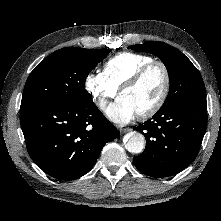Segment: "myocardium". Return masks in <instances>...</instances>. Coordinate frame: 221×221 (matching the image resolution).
Returning a JSON list of instances; mask_svg holds the SVG:
<instances>
[{
	"label": "myocardium",
	"mask_w": 221,
	"mask_h": 221,
	"mask_svg": "<svg viewBox=\"0 0 221 221\" xmlns=\"http://www.w3.org/2000/svg\"><path fill=\"white\" fill-rule=\"evenodd\" d=\"M154 66H159L164 73V86L162 93L158 100L147 110L137 113L140 119H147L155 115L165 104L170 88H171V74L167 65L161 61L153 60L141 66L137 69L119 88V95H121L125 90L134 87L143 76Z\"/></svg>",
	"instance_id": "myocardium-1"
}]
</instances>
